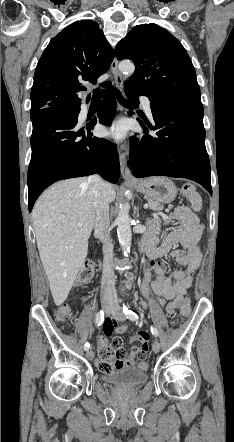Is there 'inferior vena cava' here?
<instances>
[{"instance_id": "1", "label": "inferior vena cava", "mask_w": 234, "mask_h": 442, "mask_svg": "<svg viewBox=\"0 0 234 442\" xmlns=\"http://www.w3.org/2000/svg\"><path fill=\"white\" fill-rule=\"evenodd\" d=\"M88 183L91 186L93 195V206L95 208L94 228L95 234L103 243V273L101 280V296L104 299L114 300L115 295V279L112 258L113 244L110 238V219H109V202L105 191V182L97 174L90 176Z\"/></svg>"}]
</instances>
